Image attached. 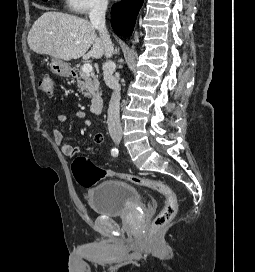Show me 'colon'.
Instances as JSON below:
<instances>
[{
  "instance_id": "1",
  "label": "colon",
  "mask_w": 255,
  "mask_h": 272,
  "mask_svg": "<svg viewBox=\"0 0 255 272\" xmlns=\"http://www.w3.org/2000/svg\"><path fill=\"white\" fill-rule=\"evenodd\" d=\"M54 80L55 78L52 74H47L40 81V89L48 96H53L55 93ZM72 172L76 181L83 187H91L103 178L115 177L158 191L164 197V205L153 221L154 230L167 226L177 214V195L172 187L161 181L103 169L96 166L89 158L83 156L73 161Z\"/></svg>"
}]
</instances>
